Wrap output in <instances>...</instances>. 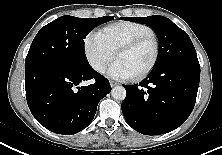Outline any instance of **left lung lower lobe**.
<instances>
[{
  "label": "left lung lower lobe",
  "mask_w": 222,
  "mask_h": 155,
  "mask_svg": "<svg viewBox=\"0 0 222 155\" xmlns=\"http://www.w3.org/2000/svg\"><path fill=\"white\" fill-rule=\"evenodd\" d=\"M200 66L175 63L154 69L139 84L126 86L121 108L126 122L144 135H160L182 125L191 114Z\"/></svg>",
  "instance_id": "left-lung-lower-lobe-1"
}]
</instances>
